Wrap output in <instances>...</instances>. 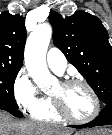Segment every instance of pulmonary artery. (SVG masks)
Segmentation results:
<instances>
[{
    "label": "pulmonary artery",
    "mask_w": 112,
    "mask_h": 135,
    "mask_svg": "<svg viewBox=\"0 0 112 135\" xmlns=\"http://www.w3.org/2000/svg\"><path fill=\"white\" fill-rule=\"evenodd\" d=\"M46 61L49 68L57 74H63L67 67V61L64 54L56 47L49 49Z\"/></svg>",
    "instance_id": "1"
}]
</instances>
